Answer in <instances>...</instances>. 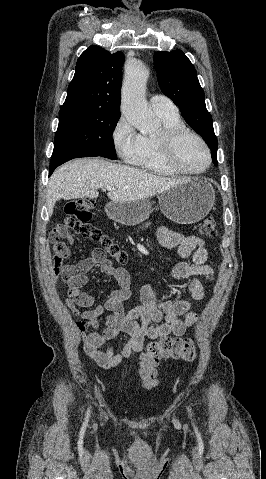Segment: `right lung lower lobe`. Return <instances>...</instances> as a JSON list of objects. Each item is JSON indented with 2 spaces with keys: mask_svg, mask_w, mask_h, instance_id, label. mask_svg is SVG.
Segmentation results:
<instances>
[{
  "mask_svg": "<svg viewBox=\"0 0 266 479\" xmlns=\"http://www.w3.org/2000/svg\"><path fill=\"white\" fill-rule=\"evenodd\" d=\"M73 159L71 156L67 155H52L51 161H50V171H49V176L53 173L55 168H57L59 165Z\"/></svg>",
  "mask_w": 266,
  "mask_h": 479,
  "instance_id": "obj_1",
  "label": "right lung lower lobe"
}]
</instances>
